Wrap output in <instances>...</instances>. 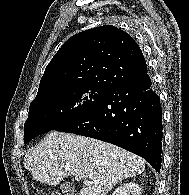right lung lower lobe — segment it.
I'll return each instance as SVG.
<instances>
[{
	"mask_svg": "<svg viewBox=\"0 0 189 195\" xmlns=\"http://www.w3.org/2000/svg\"><path fill=\"white\" fill-rule=\"evenodd\" d=\"M56 131L112 143L160 170L162 109L147 69L143 75L109 89L90 110Z\"/></svg>",
	"mask_w": 189,
	"mask_h": 195,
	"instance_id": "98d812e1",
	"label": "right lung lower lobe"
}]
</instances>
